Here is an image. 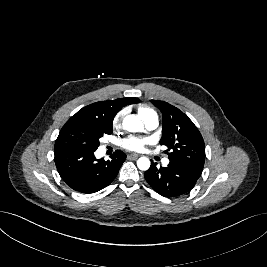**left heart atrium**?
I'll return each instance as SVG.
<instances>
[{"label":"left heart atrium","instance_id":"left-heart-atrium-1","mask_svg":"<svg viewBox=\"0 0 267 267\" xmlns=\"http://www.w3.org/2000/svg\"><path fill=\"white\" fill-rule=\"evenodd\" d=\"M148 142V139L130 137L122 141V146L127 150L141 151Z\"/></svg>","mask_w":267,"mask_h":267}]
</instances>
